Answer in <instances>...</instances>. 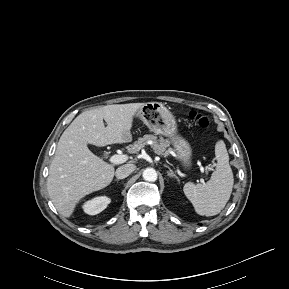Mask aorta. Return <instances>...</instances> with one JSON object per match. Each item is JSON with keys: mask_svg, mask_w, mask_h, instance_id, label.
<instances>
[{"mask_svg": "<svg viewBox=\"0 0 289 289\" xmlns=\"http://www.w3.org/2000/svg\"><path fill=\"white\" fill-rule=\"evenodd\" d=\"M143 178L146 181L154 182L157 180V172L153 168H147L143 172Z\"/></svg>", "mask_w": 289, "mask_h": 289, "instance_id": "1", "label": "aorta"}]
</instances>
